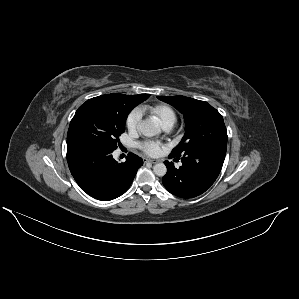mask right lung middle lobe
<instances>
[{"instance_id": "obj_1", "label": "right lung middle lobe", "mask_w": 299, "mask_h": 299, "mask_svg": "<svg viewBox=\"0 0 299 299\" xmlns=\"http://www.w3.org/2000/svg\"><path fill=\"white\" fill-rule=\"evenodd\" d=\"M135 107L120 101L112 107L88 106L78 108L71 120L67 147L79 145H99L116 149L119 136L125 131V122Z\"/></svg>"}]
</instances>
